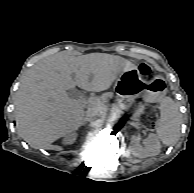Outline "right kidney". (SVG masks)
Returning <instances> with one entry per match:
<instances>
[{
  "instance_id": "ca27d5eb",
  "label": "right kidney",
  "mask_w": 194,
  "mask_h": 193,
  "mask_svg": "<svg viewBox=\"0 0 194 193\" xmlns=\"http://www.w3.org/2000/svg\"><path fill=\"white\" fill-rule=\"evenodd\" d=\"M76 140V136H70L65 139V144H72Z\"/></svg>"
}]
</instances>
